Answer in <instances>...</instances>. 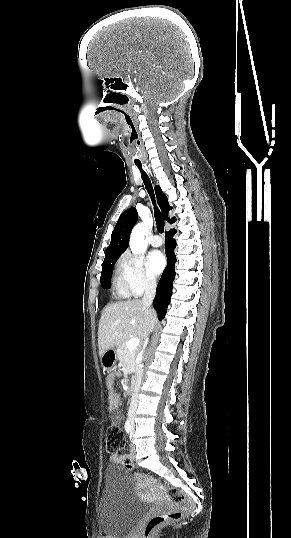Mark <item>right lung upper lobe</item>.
Wrapping results in <instances>:
<instances>
[{"instance_id":"1","label":"right lung upper lobe","mask_w":291,"mask_h":538,"mask_svg":"<svg viewBox=\"0 0 291 538\" xmlns=\"http://www.w3.org/2000/svg\"><path fill=\"white\" fill-rule=\"evenodd\" d=\"M155 191L165 220L169 223H174L176 218L173 217L170 219L168 217V213L172 207L168 203L167 196L162 192L159 186H155ZM137 220L138 213L135 208H130L121 214L112 232L111 242L106 249L104 262L111 259H118V257L127 249L130 232Z\"/></svg>"}]
</instances>
